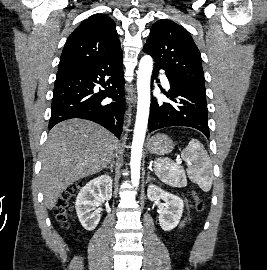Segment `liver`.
<instances>
[{"mask_svg":"<svg viewBox=\"0 0 267 270\" xmlns=\"http://www.w3.org/2000/svg\"><path fill=\"white\" fill-rule=\"evenodd\" d=\"M118 140L105 128L82 119L54 126L42 150L40 183L45 206L51 210L74 182L107 167Z\"/></svg>","mask_w":267,"mask_h":270,"instance_id":"obj_1","label":"liver"}]
</instances>
